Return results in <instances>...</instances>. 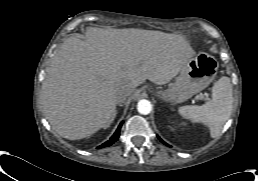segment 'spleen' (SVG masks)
<instances>
[{"mask_svg":"<svg viewBox=\"0 0 258 181\" xmlns=\"http://www.w3.org/2000/svg\"><path fill=\"white\" fill-rule=\"evenodd\" d=\"M233 108L232 84L228 77H221L212 88V98L202 106H182L179 114L193 122L202 123L209 129L212 138L217 137Z\"/></svg>","mask_w":258,"mask_h":181,"instance_id":"1","label":"spleen"}]
</instances>
